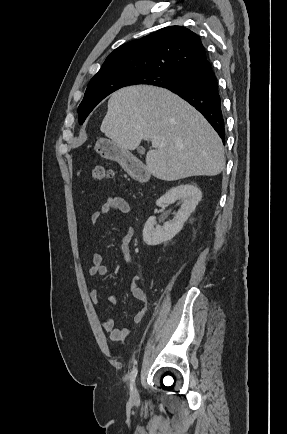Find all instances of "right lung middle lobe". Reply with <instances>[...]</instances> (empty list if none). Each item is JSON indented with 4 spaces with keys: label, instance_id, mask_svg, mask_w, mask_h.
I'll return each mask as SVG.
<instances>
[{
    "label": "right lung middle lobe",
    "instance_id": "right-lung-middle-lobe-1",
    "mask_svg": "<svg viewBox=\"0 0 287 434\" xmlns=\"http://www.w3.org/2000/svg\"><path fill=\"white\" fill-rule=\"evenodd\" d=\"M180 75L148 72L137 76H114L90 81L84 98L78 107L79 123L82 124L90 112L109 94L129 85L148 84L166 87L175 83Z\"/></svg>",
    "mask_w": 287,
    "mask_h": 434
}]
</instances>
